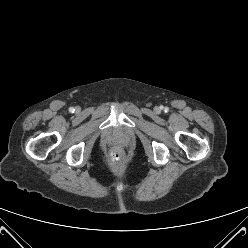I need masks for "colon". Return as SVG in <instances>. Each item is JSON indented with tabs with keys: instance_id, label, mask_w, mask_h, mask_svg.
<instances>
[{
	"instance_id": "obj_1",
	"label": "colon",
	"mask_w": 248,
	"mask_h": 248,
	"mask_svg": "<svg viewBox=\"0 0 248 248\" xmlns=\"http://www.w3.org/2000/svg\"><path fill=\"white\" fill-rule=\"evenodd\" d=\"M124 155L123 152L119 149H115L114 151H112L111 153V161L114 164H118L121 163L123 161Z\"/></svg>"
}]
</instances>
